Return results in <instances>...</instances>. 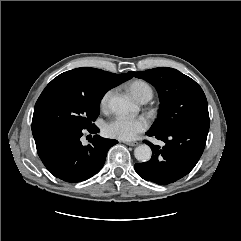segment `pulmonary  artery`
<instances>
[{
  "instance_id": "e3ab8cb5",
  "label": "pulmonary artery",
  "mask_w": 241,
  "mask_h": 241,
  "mask_svg": "<svg viewBox=\"0 0 241 241\" xmlns=\"http://www.w3.org/2000/svg\"><path fill=\"white\" fill-rule=\"evenodd\" d=\"M148 101V99H143L141 101H139L140 103H146Z\"/></svg>"
}]
</instances>
